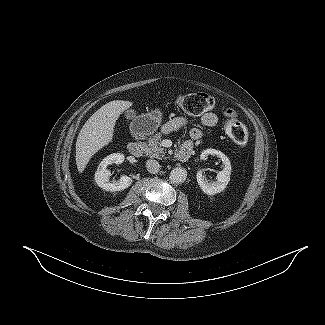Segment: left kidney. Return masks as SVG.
<instances>
[{
    "mask_svg": "<svg viewBox=\"0 0 325 325\" xmlns=\"http://www.w3.org/2000/svg\"><path fill=\"white\" fill-rule=\"evenodd\" d=\"M209 155L217 156L220 158L224 165V169L217 174V181L215 182H209L205 176L202 174V171L199 170L197 172V182L200 186L201 190L208 195H215L217 193L222 192L228 182L230 181V175H231V163L228 157L222 153L221 151L215 150V149H206L202 151L200 158L202 160L207 159Z\"/></svg>",
    "mask_w": 325,
    "mask_h": 325,
    "instance_id": "obj_1",
    "label": "left kidney"
}]
</instances>
